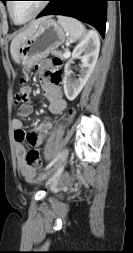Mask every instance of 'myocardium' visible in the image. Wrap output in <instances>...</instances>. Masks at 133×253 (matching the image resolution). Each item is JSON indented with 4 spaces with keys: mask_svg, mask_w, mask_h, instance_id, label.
<instances>
[{
    "mask_svg": "<svg viewBox=\"0 0 133 253\" xmlns=\"http://www.w3.org/2000/svg\"><path fill=\"white\" fill-rule=\"evenodd\" d=\"M11 3H12L11 1L8 2L7 9H8V12H9V15H10L12 21L16 24H25V23L29 22L30 20L36 18L46 8V5H47L46 0H43L41 2V5L39 6V8L30 17H28L22 21H17L13 16L12 9H11Z\"/></svg>",
    "mask_w": 133,
    "mask_h": 253,
    "instance_id": "myocardium-1",
    "label": "myocardium"
}]
</instances>
